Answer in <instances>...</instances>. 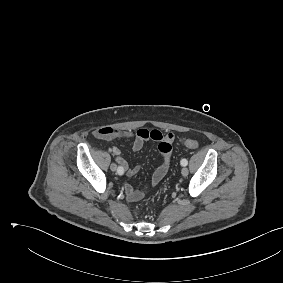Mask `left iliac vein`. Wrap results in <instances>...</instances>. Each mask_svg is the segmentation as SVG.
<instances>
[{
    "mask_svg": "<svg viewBox=\"0 0 283 283\" xmlns=\"http://www.w3.org/2000/svg\"><path fill=\"white\" fill-rule=\"evenodd\" d=\"M188 173H189L188 169H187L186 167H183L182 170H181V174H182L183 176H187Z\"/></svg>",
    "mask_w": 283,
    "mask_h": 283,
    "instance_id": "1",
    "label": "left iliac vein"
}]
</instances>
